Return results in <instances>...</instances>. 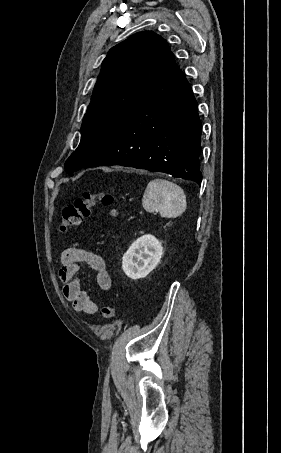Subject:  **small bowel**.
Returning <instances> with one entry per match:
<instances>
[{"label":"small bowel","instance_id":"c3829d8e","mask_svg":"<svg viewBox=\"0 0 281 453\" xmlns=\"http://www.w3.org/2000/svg\"><path fill=\"white\" fill-rule=\"evenodd\" d=\"M81 264L89 265L95 271L94 279L97 288L105 291L110 289L111 281L106 272L104 258L92 251L70 248L61 253L59 276L62 280L63 295L75 310L95 314L98 310L97 305L81 291L75 279Z\"/></svg>","mask_w":281,"mask_h":453}]
</instances>
